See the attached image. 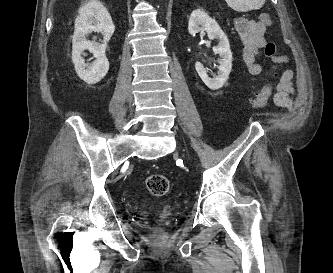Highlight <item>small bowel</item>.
Instances as JSON below:
<instances>
[{
    "label": "small bowel",
    "instance_id": "obj_1",
    "mask_svg": "<svg viewBox=\"0 0 333 273\" xmlns=\"http://www.w3.org/2000/svg\"><path fill=\"white\" fill-rule=\"evenodd\" d=\"M235 27L243 45V62L246 65L248 74L256 79L263 72V67L256 62V57L266 43L267 25L261 21L238 18L235 22ZM286 61V56H275L273 62L276 66L272 70H275ZM292 85L293 71L287 69L282 73L276 86L275 102L279 106L289 107L294 103Z\"/></svg>",
    "mask_w": 333,
    "mask_h": 273
}]
</instances>
